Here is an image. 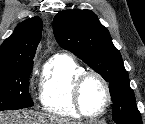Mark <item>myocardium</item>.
<instances>
[{"instance_id":"myocardium-1","label":"myocardium","mask_w":145,"mask_h":124,"mask_svg":"<svg viewBox=\"0 0 145 124\" xmlns=\"http://www.w3.org/2000/svg\"><path fill=\"white\" fill-rule=\"evenodd\" d=\"M91 78H94L100 82V84L104 88L105 95H106V100L103 108L101 109L100 112L96 114L86 113L82 104L83 87L86 84V82ZM72 95H73L74 106L77 112L80 114V116L87 119H98L102 117L107 112L112 101V94H111L109 83L100 73L95 71H84L76 77L73 83Z\"/></svg>"}]
</instances>
